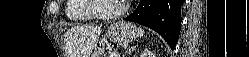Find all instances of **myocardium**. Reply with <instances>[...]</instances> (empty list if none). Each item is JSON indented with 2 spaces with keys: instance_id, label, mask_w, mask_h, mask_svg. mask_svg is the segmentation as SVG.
Segmentation results:
<instances>
[{
  "instance_id": "1",
  "label": "myocardium",
  "mask_w": 249,
  "mask_h": 57,
  "mask_svg": "<svg viewBox=\"0 0 249 57\" xmlns=\"http://www.w3.org/2000/svg\"><path fill=\"white\" fill-rule=\"evenodd\" d=\"M98 0H85V7L86 10L93 15L95 18L100 20H115L120 18L128 9V1H124L121 9L115 13L111 14H103L100 11H98L97 6Z\"/></svg>"
}]
</instances>
